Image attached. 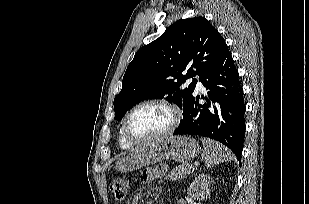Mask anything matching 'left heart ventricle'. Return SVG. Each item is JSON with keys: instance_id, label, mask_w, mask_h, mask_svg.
<instances>
[{"instance_id": "obj_1", "label": "left heart ventricle", "mask_w": 309, "mask_h": 204, "mask_svg": "<svg viewBox=\"0 0 309 204\" xmlns=\"http://www.w3.org/2000/svg\"><path fill=\"white\" fill-rule=\"evenodd\" d=\"M170 111L160 105H147L135 111L128 122V132L135 138H147L164 131L171 122Z\"/></svg>"}]
</instances>
